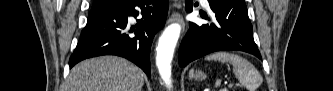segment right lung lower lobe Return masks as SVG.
I'll use <instances>...</instances> for the list:
<instances>
[{
	"label": "right lung lower lobe",
	"instance_id": "obj_1",
	"mask_svg": "<svg viewBox=\"0 0 333 91\" xmlns=\"http://www.w3.org/2000/svg\"><path fill=\"white\" fill-rule=\"evenodd\" d=\"M167 12L168 0H129L115 8L91 10L69 60L70 68L87 58L117 55L135 63L150 77V46L164 26ZM138 15L142 19L130 28L128 17Z\"/></svg>",
	"mask_w": 333,
	"mask_h": 91
}]
</instances>
